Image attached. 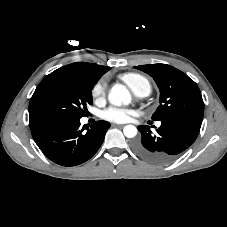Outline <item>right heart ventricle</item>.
<instances>
[{
	"mask_svg": "<svg viewBox=\"0 0 227 227\" xmlns=\"http://www.w3.org/2000/svg\"><path fill=\"white\" fill-rule=\"evenodd\" d=\"M120 78L137 95H148L151 92L149 80L141 74L130 72L121 75Z\"/></svg>",
	"mask_w": 227,
	"mask_h": 227,
	"instance_id": "right-heart-ventricle-1",
	"label": "right heart ventricle"
}]
</instances>
